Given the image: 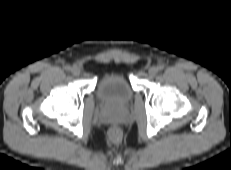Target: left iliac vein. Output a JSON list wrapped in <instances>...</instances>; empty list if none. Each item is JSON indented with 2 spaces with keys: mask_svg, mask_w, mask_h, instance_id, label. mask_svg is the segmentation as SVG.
Returning a JSON list of instances; mask_svg holds the SVG:
<instances>
[{
  "mask_svg": "<svg viewBox=\"0 0 231 170\" xmlns=\"http://www.w3.org/2000/svg\"><path fill=\"white\" fill-rule=\"evenodd\" d=\"M157 71H158V69L156 67H151L149 69V75L153 77L157 74Z\"/></svg>",
  "mask_w": 231,
  "mask_h": 170,
  "instance_id": "4c4485c4",
  "label": "left iliac vein"
}]
</instances>
